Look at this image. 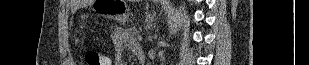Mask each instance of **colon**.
I'll list each match as a JSON object with an SVG mask.
<instances>
[{
  "instance_id": "obj_1",
  "label": "colon",
  "mask_w": 309,
  "mask_h": 65,
  "mask_svg": "<svg viewBox=\"0 0 309 65\" xmlns=\"http://www.w3.org/2000/svg\"><path fill=\"white\" fill-rule=\"evenodd\" d=\"M84 60L87 65H104L106 63L105 56L95 49H87L84 52Z\"/></svg>"
}]
</instances>
